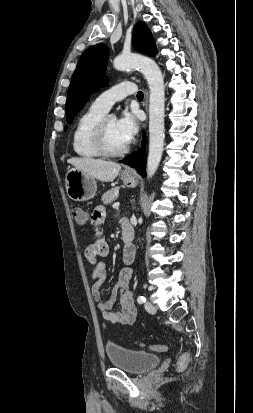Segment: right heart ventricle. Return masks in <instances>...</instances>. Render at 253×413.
<instances>
[{
	"label": "right heart ventricle",
	"mask_w": 253,
	"mask_h": 413,
	"mask_svg": "<svg viewBox=\"0 0 253 413\" xmlns=\"http://www.w3.org/2000/svg\"><path fill=\"white\" fill-rule=\"evenodd\" d=\"M105 112L91 106L77 119L72 133V147L76 155L85 159L101 156L92 142V130Z\"/></svg>",
	"instance_id": "right-heart-ventricle-1"
}]
</instances>
